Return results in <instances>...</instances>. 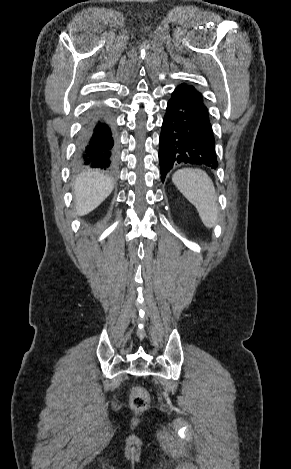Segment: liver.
<instances>
[{
	"mask_svg": "<svg viewBox=\"0 0 291 469\" xmlns=\"http://www.w3.org/2000/svg\"><path fill=\"white\" fill-rule=\"evenodd\" d=\"M113 187V181L99 173L80 175L73 185L76 214L84 216L93 211L111 194Z\"/></svg>",
	"mask_w": 291,
	"mask_h": 469,
	"instance_id": "6515ba94",
	"label": "liver"
}]
</instances>
